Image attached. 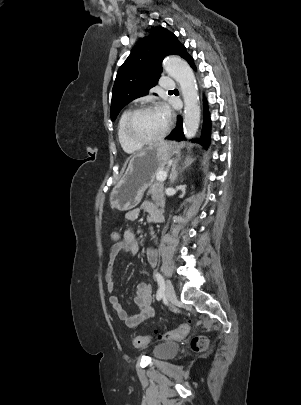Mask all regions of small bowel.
<instances>
[{
    "label": "small bowel",
    "instance_id": "1",
    "mask_svg": "<svg viewBox=\"0 0 301 405\" xmlns=\"http://www.w3.org/2000/svg\"><path fill=\"white\" fill-rule=\"evenodd\" d=\"M141 213H145L148 216L149 221L159 223L163 219L162 209L149 200L143 201L138 208L128 211L125 215L128 221H135L139 218ZM152 236L155 237V233L151 231ZM119 242L113 244L110 251L109 264L106 270L105 280L108 291L111 293L109 297V303L111 307L117 313L119 319L130 328H135L142 322L152 318L155 314L154 307L152 305V287L148 283H140L137 286L134 303L138 308V311L134 314H128L122 307L119 298L113 294L115 288L114 281V267L117 256L121 252H127L131 255H136L139 249L138 240L131 229H126L121 235L119 233ZM148 262L151 266L156 265L157 254L152 248L147 251Z\"/></svg>",
    "mask_w": 301,
    "mask_h": 405
}]
</instances>
